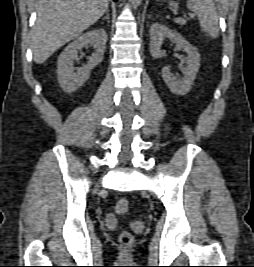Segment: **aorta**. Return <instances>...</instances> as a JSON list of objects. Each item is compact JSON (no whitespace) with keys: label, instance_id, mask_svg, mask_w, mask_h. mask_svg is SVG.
Masks as SVG:
<instances>
[{"label":"aorta","instance_id":"762f6f07","mask_svg":"<svg viewBox=\"0 0 254 267\" xmlns=\"http://www.w3.org/2000/svg\"><path fill=\"white\" fill-rule=\"evenodd\" d=\"M141 1L142 0H131V5L133 9H136L140 5Z\"/></svg>","mask_w":254,"mask_h":267}]
</instances>
